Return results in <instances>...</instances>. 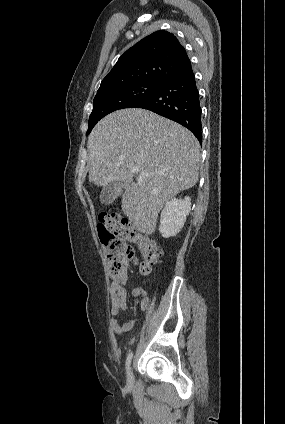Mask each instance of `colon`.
Instances as JSON below:
<instances>
[{
  "label": "colon",
  "mask_w": 285,
  "mask_h": 424,
  "mask_svg": "<svg viewBox=\"0 0 285 424\" xmlns=\"http://www.w3.org/2000/svg\"><path fill=\"white\" fill-rule=\"evenodd\" d=\"M96 228L113 278L121 274L126 264L136 261L129 243L138 245L142 253L138 266L143 274H149L161 263L160 247L124 218L114 214L100 216Z\"/></svg>",
  "instance_id": "1"
}]
</instances>
